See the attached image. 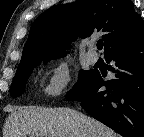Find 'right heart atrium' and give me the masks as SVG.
I'll return each instance as SVG.
<instances>
[{
  "label": "right heart atrium",
  "mask_w": 144,
  "mask_h": 137,
  "mask_svg": "<svg viewBox=\"0 0 144 137\" xmlns=\"http://www.w3.org/2000/svg\"><path fill=\"white\" fill-rule=\"evenodd\" d=\"M71 81V67L66 61L53 66L45 84L44 92L49 98H57L69 88Z\"/></svg>",
  "instance_id": "obj_1"
}]
</instances>
